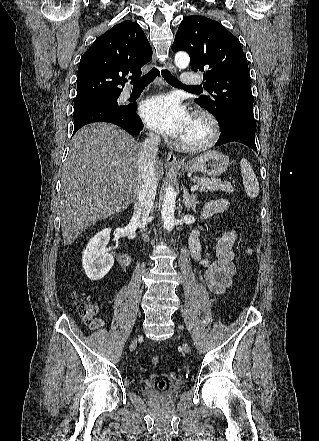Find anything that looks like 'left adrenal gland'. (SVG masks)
<instances>
[{
	"mask_svg": "<svg viewBox=\"0 0 319 441\" xmlns=\"http://www.w3.org/2000/svg\"><path fill=\"white\" fill-rule=\"evenodd\" d=\"M183 204L185 208L191 209L193 212H196V207L198 205V198L196 194H189L187 188L183 186Z\"/></svg>",
	"mask_w": 319,
	"mask_h": 441,
	"instance_id": "1",
	"label": "left adrenal gland"
}]
</instances>
